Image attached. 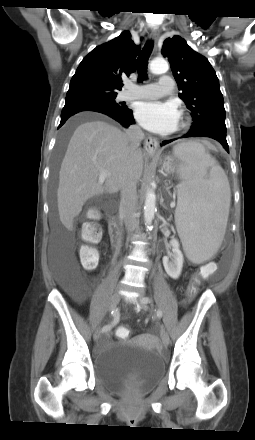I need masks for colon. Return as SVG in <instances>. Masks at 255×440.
<instances>
[{"label": "colon", "mask_w": 255, "mask_h": 440, "mask_svg": "<svg viewBox=\"0 0 255 440\" xmlns=\"http://www.w3.org/2000/svg\"><path fill=\"white\" fill-rule=\"evenodd\" d=\"M95 217V212H91L90 218L94 219ZM80 236L84 241V244L79 249L81 263L86 269H94L98 264L99 250L93 244L99 241L101 231L95 223L90 222L82 227ZM198 287V283L189 287L186 291V296L190 299L193 298L198 290ZM116 335L119 338L126 339L130 336V330L127 327H119L116 330Z\"/></svg>", "instance_id": "1"}]
</instances>
